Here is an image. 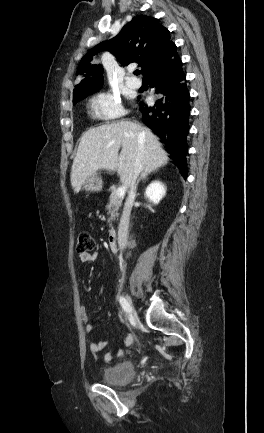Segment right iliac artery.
Listing matches in <instances>:
<instances>
[{
	"label": "right iliac artery",
	"mask_w": 264,
	"mask_h": 433,
	"mask_svg": "<svg viewBox=\"0 0 264 433\" xmlns=\"http://www.w3.org/2000/svg\"><path fill=\"white\" fill-rule=\"evenodd\" d=\"M119 302H120V305H121L122 309L125 312H129V304H128L127 300L124 297L120 296L119 297Z\"/></svg>",
	"instance_id": "82829eb1"
}]
</instances>
